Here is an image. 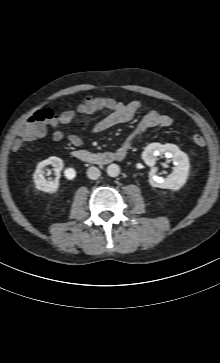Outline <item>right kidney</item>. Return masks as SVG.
Masks as SVG:
<instances>
[{"label": "right kidney", "instance_id": "ca27d5eb", "mask_svg": "<svg viewBox=\"0 0 220 363\" xmlns=\"http://www.w3.org/2000/svg\"><path fill=\"white\" fill-rule=\"evenodd\" d=\"M47 165H52L53 166V170L56 174V179L54 180H46L44 178V168ZM64 167V163L63 160L58 158V157H49L46 160H43L41 162L38 163L37 167H36V171L33 174V179L35 182V186L38 190L53 194L56 193L58 188H59V177H60V172Z\"/></svg>", "mask_w": 220, "mask_h": 363}]
</instances>
